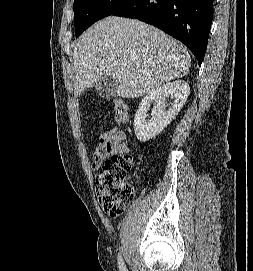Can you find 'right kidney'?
<instances>
[{"instance_id": "right-kidney-1", "label": "right kidney", "mask_w": 253, "mask_h": 271, "mask_svg": "<svg viewBox=\"0 0 253 271\" xmlns=\"http://www.w3.org/2000/svg\"><path fill=\"white\" fill-rule=\"evenodd\" d=\"M189 94L190 87L182 80L168 82L148 93L140 102L134 117L133 126L137 139L146 142L160 134L181 110ZM169 96L173 103L166 110V98ZM152 101H155L152 117L146 120Z\"/></svg>"}]
</instances>
